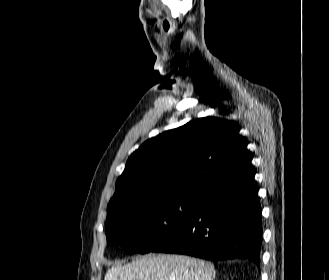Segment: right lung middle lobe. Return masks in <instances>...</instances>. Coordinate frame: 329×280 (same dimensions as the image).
<instances>
[{
    "mask_svg": "<svg viewBox=\"0 0 329 280\" xmlns=\"http://www.w3.org/2000/svg\"><path fill=\"white\" fill-rule=\"evenodd\" d=\"M200 197H146L108 207L107 242L148 253L171 238L199 206Z\"/></svg>",
    "mask_w": 329,
    "mask_h": 280,
    "instance_id": "1",
    "label": "right lung middle lobe"
}]
</instances>
